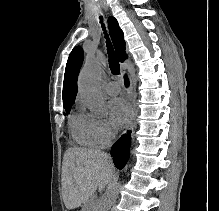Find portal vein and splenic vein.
<instances>
[{"label":"portal vein and splenic vein","instance_id":"1","mask_svg":"<svg viewBox=\"0 0 219 211\" xmlns=\"http://www.w3.org/2000/svg\"><path fill=\"white\" fill-rule=\"evenodd\" d=\"M92 201H93V199H92ZM93 203H98L97 199H94Z\"/></svg>","mask_w":219,"mask_h":211}]
</instances>
